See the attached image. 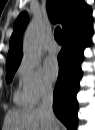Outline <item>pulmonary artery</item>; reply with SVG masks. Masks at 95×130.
<instances>
[{
    "label": "pulmonary artery",
    "instance_id": "e3ab8cb5",
    "mask_svg": "<svg viewBox=\"0 0 95 130\" xmlns=\"http://www.w3.org/2000/svg\"><path fill=\"white\" fill-rule=\"evenodd\" d=\"M46 48L50 53H57L59 51V46L55 41L48 42Z\"/></svg>",
    "mask_w": 95,
    "mask_h": 130
}]
</instances>
